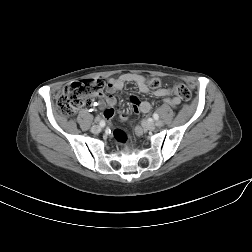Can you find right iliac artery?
Segmentation results:
<instances>
[{
  "label": "right iliac artery",
  "mask_w": 252,
  "mask_h": 252,
  "mask_svg": "<svg viewBox=\"0 0 252 252\" xmlns=\"http://www.w3.org/2000/svg\"><path fill=\"white\" fill-rule=\"evenodd\" d=\"M100 126H101V129H104V126H105V120L104 119H101Z\"/></svg>",
  "instance_id": "82829eb1"
}]
</instances>
